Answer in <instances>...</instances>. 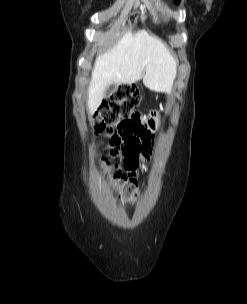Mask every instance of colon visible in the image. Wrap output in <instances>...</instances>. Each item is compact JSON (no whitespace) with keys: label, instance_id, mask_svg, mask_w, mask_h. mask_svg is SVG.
Segmentation results:
<instances>
[{"label":"colon","instance_id":"colon-1","mask_svg":"<svg viewBox=\"0 0 247 304\" xmlns=\"http://www.w3.org/2000/svg\"><path fill=\"white\" fill-rule=\"evenodd\" d=\"M139 103L138 93L128 85H120L105 102L92 119L93 129L96 134L111 130L116 122L124 120H157V119H127V112H136ZM101 164L107 170L108 177L125 200L132 201L138 197V189L135 180L126 172H123L115 162L108 158H102Z\"/></svg>","mask_w":247,"mask_h":304}]
</instances>
